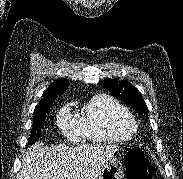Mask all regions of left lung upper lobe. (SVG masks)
I'll return each instance as SVG.
<instances>
[{
  "instance_id": "1",
  "label": "left lung upper lobe",
  "mask_w": 183,
  "mask_h": 179,
  "mask_svg": "<svg viewBox=\"0 0 183 179\" xmlns=\"http://www.w3.org/2000/svg\"><path fill=\"white\" fill-rule=\"evenodd\" d=\"M101 84L110 90L111 95L131 105L139 113L148 115V108L142 99V95L128 81H118L117 78L104 79Z\"/></svg>"
}]
</instances>
